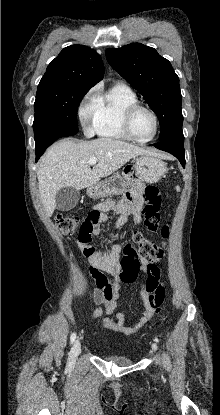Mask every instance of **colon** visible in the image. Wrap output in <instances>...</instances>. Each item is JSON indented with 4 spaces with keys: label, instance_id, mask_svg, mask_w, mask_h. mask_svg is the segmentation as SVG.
Returning <instances> with one entry per match:
<instances>
[{
    "label": "colon",
    "instance_id": "colon-1",
    "mask_svg": "<svg viewBox=\"0 0 220 415\" xmlns=\"http://www.w3.org/2000/svg\"><path fill=\"white\" fill-rule=\"evenodd\" d=\"M145 195V227L149 232L156 233L160 230L164 238L169 236L170 225L165 224L160 227V205L162 202L161 192L156 186H148L144 192ZM96 218L94 214H88L85 220H79L77 217L58 214L54 221L58 230L65 235H71L81 230L89 238L88 224ZM165 244H156L141 233L133 234V243H128L123 249L120 260L121 272L120 279L125 284H132L137 280L141 269V260L148 262L147 279L145 290L148 294V300L155 308H162L167 300L166 290L160 281V271L157 263L165 255Z\"/></svg>",
    "mask_w": 220,
    "mask_h": 415
}]
</instances>
